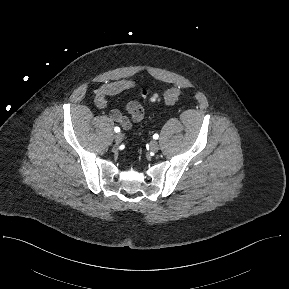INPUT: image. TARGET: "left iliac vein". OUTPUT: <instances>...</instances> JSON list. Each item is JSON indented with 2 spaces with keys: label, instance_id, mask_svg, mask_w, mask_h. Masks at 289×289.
I'll return each mask as SVG.
<instances>
[{
  "label": "left iliac vein",
  "instance_id": "obj_1",
  "mask_svg": "<svg viewBox=\"0 0 289 289\" xmlns=\"http://www.w3.org/2000/svg\"><path fill=\"white\" fill-rule=\"evenodd\" d=\"M149 145L152 152H157L159 150V144L157 141L152 140Z\"/></svg>",
  "mask_w": 289,
  "mask_h": 289
}]
</instances>
